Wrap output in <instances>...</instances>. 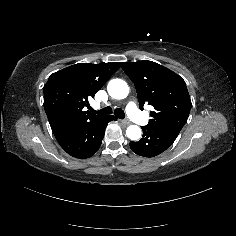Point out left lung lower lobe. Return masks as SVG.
I'll list each match as a JSON object with an SVG mask.
<instances>
[{"instance_id":"left-lung-lower-lobe-1","label":"left lung lower lobe","mask_w":236,"mask_h":236,"mask_svg":"<svg viewBox=\"0 0 236 236\" xmlns=\"http://www.w3.org/2000/svg\"><path fill=\"white\" fill-rule=\"evenodd\" d=\"M143 136L138 142H130V148L143 157H154L167 148L177 138L179 132L169 129H155L149 125L143 126Z\"/></svg>"}]
</instances>
